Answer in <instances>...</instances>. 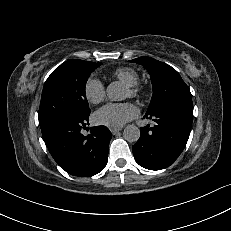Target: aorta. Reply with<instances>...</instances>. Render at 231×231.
<instances>
[{"mask_svg":"<svg viewBox=\"0 0 231 231\" xmlns=\"http://www.w3.org/2000/svg\"><path fill=\"white\" fill-rule=\"evenodd\" d=\"M107 96L113 101L125 99L123 87L118 82H112L106 90ZM124 138L129 142H137L140 138V129L135 125H128L123 131Z\"/></svg>","mask_w":231,"mask_h":231,"instance_id":"762f6f07","label":"aorta"}]
</instances>
